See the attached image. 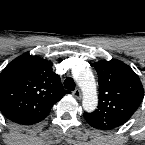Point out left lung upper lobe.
I'll return each instance as SVG.
<instances>
[{
  "label": "left lung upper lobe",
  "instance_id": "1",
  "mask_svg": "<svg viewBox=\"0 0 145 145\" xmlns=\"http://www.w3.org/2000/svg\"><path fill=\"white\" fill-rule=\"evenodd\" d=\"M99 78V104L84 113L94 128L111 130L126 123L138 109L144 89L138 75L125 63L102 60L95 64Z\"/></svg>",
  "mask_w": 145,
  "mask_h": 145
}]
</instances>
